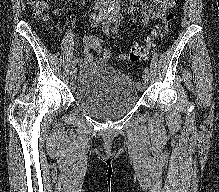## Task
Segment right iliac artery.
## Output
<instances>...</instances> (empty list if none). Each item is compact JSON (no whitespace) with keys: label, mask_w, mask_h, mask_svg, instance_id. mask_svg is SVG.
I'll list each match as a JSON object with an SVG mask.
<instances>
[{"label":"right iliac artery","mask_w":219,"mask_h":192,"mask_svg":"<svg viewBox=\"0 0 219 192\" xmlns=\"http://www.w3.org/2000/svg\"><path fill=\"white\" fill-rule=\"evenodd\" d=\"M115 8V4H108L104 9L103 11L98 14L97 16L96 15H91V18H92V22H91V27H97L103 20L104 18L110 14V12H112ZM78 61V58L75 57L73 60H72V66L74 67L76 65Z\"/></svg>","instance_id":"1"}]
</instances>
